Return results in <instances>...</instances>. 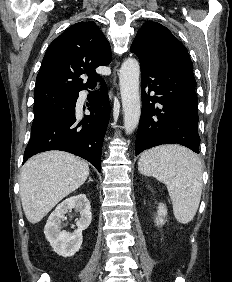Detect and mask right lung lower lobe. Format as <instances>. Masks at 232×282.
Returning <instances> with one entry per match:
<instances>
[{
	"instance_id": "obj_1",
	"label": "right lung lower lobe",
	"mask_w": 232,
	"mask_h": 282,
	"mask_svg": "<svg viewBox=\"0 0 232 282\" xmlns=\"http://www.w3.org/2000/svg\"><path fill=\"white\" fill-rule=\"evenodd\" d=\"M89 96L90 115H86L83 122L77 123L75 117L78 99L76 94L69 105L39 122L32 123L31 138L24 152L23 163L37 153L61 150L86 159L101 171V150L110 116L105 82H101L99 92H90Z\"/></svg>"
}]
</instances>
